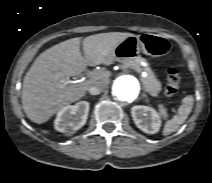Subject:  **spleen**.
<instances>
[{
	"mask_svg": "<svg viewBox=\"0 0 212 183\" xmlns=\"http://www.w3.org/2000/svg\"><path fill=\"white\" fill-rule=\"evenodd\" d=\"M193 102L194 98L192 95H188L182 100V104L178 108V113L173 116L172 119L167 120L164 129H163V135H169L172 132H175L181 124L185 122V120L188 118L189 114L192 111L193 108ZM159 110L161 115L166 118L167 117V111L163 105H159Z\"/></svg>",
	"mask_w": 212,
	"mask_h": 183,
	"instance_id": "3e777b00",
	"label": "spleen"
}]
</instances>
